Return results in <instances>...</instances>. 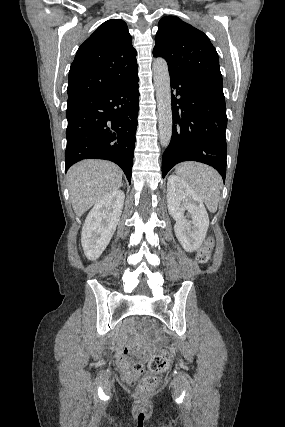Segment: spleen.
<instances>
[{
    "instance_id": "spleen-1",
    "label": "spleen",
    "mask_w": 285,
    "mask_h": 427,
    "mask_svg": "<svg viewBox=\"0 0 285 427\" xmlns=\"http://www.w3.org/2000/svg\"><path fill=\"white\" fill-rule=\"evenodd\" d=\"M175 172L195 190L210 212L217 211L222 178L216 170L204 164L184 162L175 167Z\"/></svg>"
}]
</instances>
